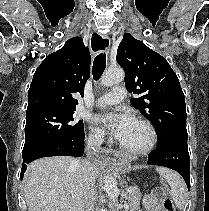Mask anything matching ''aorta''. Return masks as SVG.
<instances>
[{
  "label": "aorta",
  "mask_w": 209,
  "mask_h": 211,
  "mask_svg": "<svg viewBox=\"0 0 209 211\" xmlns=\"http://www.w3.org/2000/svg\"><path fill=\"white\" fill-rule=\"evenodd\" d=\"M124 77L125 73L122 68H111L103 73L100 78V82L103 86L109 87L121 83L124 80ZM104 191L111 201H117L119 189L117 181L113 176L107 175L105 177Z\"/></svg>",
  "instance_id": "762f6f07"
}]
</instances>
